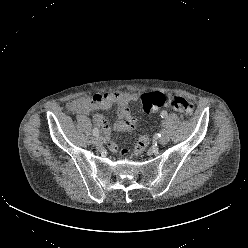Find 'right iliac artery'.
<instances>
[{"instance_id": "1", "label": "right iliac artery", "mask_w": 248, "mask_h": 248, "mask_svg": "<svg viewBox=\"0 0 248 248\" xmlns=\"http://www.w3.org/2000/svg\"><path fill=\"white\" fill-rule=\"evenodd\" d=\"M93 135H94V136L99 135V130H98L97 127H94V129H93Z\"/></svg>"}]
</instances>
